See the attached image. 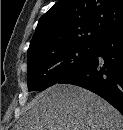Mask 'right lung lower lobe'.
I'll list each match as a JSON object with an SVG mask.
<instances>
[{
	"mask_svg": "<svg viewBox=\"0 0 123 130\" xmlns=\"http://www.w3.org/2000/svg\"><path fill=\"white\" fill-rule=\"evenodd\" d=\"M59 83L88 89L123 114V26L103 36L92 54Z\"/></svg>",
	"mask_w": 123,
	"mask_h": 130,
	"instance_id": "obj_1",
	"label": "right lung lower lobe"
}]
</instances>
